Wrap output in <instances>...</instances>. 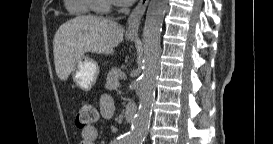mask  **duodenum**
Masks as SVG:
<instances>
[{
	"label": "duodenum",
	"instance_id": "duodenum-1",
	"mask_svg": "<svg viewBox=\"0 0 273 144\" xmlns=\"http://www.w3.org/2000/svg\"><path fill=\"white\" fill-rule=\"evenodd\" d=\"M136 113H137V109L134 105L128 104L125 106L124 116L126 121L128 122L133 121Z\"/></svg>",
	"mask_w": 273,
	"mask_h": 144
}]
</instances>
